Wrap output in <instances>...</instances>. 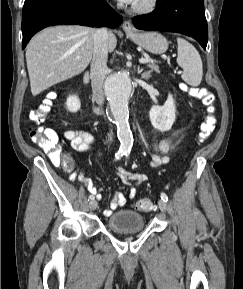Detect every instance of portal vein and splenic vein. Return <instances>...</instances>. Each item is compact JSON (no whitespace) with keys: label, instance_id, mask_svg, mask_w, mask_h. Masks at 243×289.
<instances>
[{"label":"portal vein and splenic vein","instance_id":"18ae733b","mask_svg":"<svg viewBox=\"0 0 243 289\" xmlns=\"http://www.w3.org/2000/svg\"><path fill=\"white\" fill-rule=\"evenodd\" d=\"M139 62L140 63H153V62H156L155 60H152V59H148V58H141L139 59Z\"/></svg>","mask_w":243,"mask_h":289}]
</instances>
